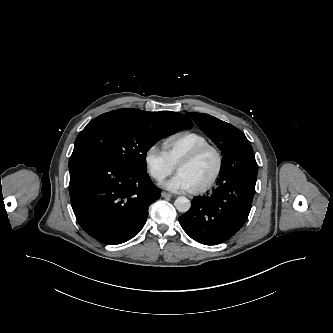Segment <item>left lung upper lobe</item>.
Instances as JSON below:
<instances>
[{"instance_id": "5c2ea615", "label": "left lung upper lobe", "mask_w": 333, "mask_h": 333, "mask_svg": "<svg viewBox=\"0 0 333 333\" xmlns=\"http://www.w3.org/2000/svg\"><path fill=\"white\" fill-rule=\"evenodd\" d=\"M199 128L217 145L226 156L243 144L250 143L236 127L204 113H187Z\"/></svg>"}]
</instances>
